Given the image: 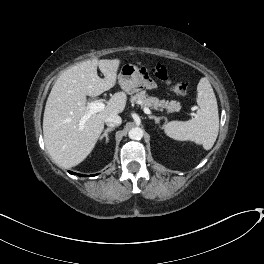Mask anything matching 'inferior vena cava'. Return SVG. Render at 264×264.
<instances>
[{
  "mask_svg": "<svg viewBox=\"0 0 264 264\" xmlns=\"http://www.w3.org/2000/svg\"><path fill=\"white\" fill-rule=\"evenodd\" d=\"M105 123L109 127H115L119 126L122 123V119L118 115H112L105 120Z\"/></svg>",
  "mask_w": 264,
  "mask_h": 264,
  "instance_id": "1",
  "label": "inferior vena cava"
}]
</instances>
